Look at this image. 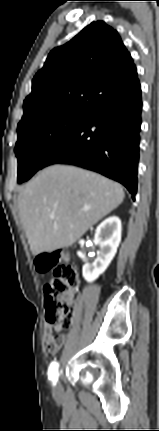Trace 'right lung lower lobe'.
<instances>
[{
  "label": "right lung lower lobe",
  "instance_id": "obj_1",
  "mask_svg": "<svg viewBox=\"0 0 159 431\" xmlns=\"http://www.w3.org/2000/svg\"><path fill=\"white\" fill-rule=\"evenodd\" d=\"M141 112V85L137 81L90 112L48 153L42 168L65 163L96 171L123 184L134 198Z\"/></svg>",
  "mask_w": 159,
  "mask_h": 431
}]
</instances>
